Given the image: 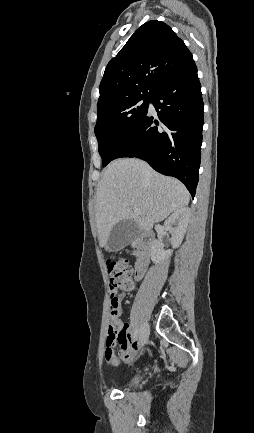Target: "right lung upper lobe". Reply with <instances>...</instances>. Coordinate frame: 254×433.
Returning a JSON list of instances; mask_svg holds the SVG:
<instances>
[{"label":"right lung upper lobe","mask_w":254,"mask_h":433,"mask_svg":"<svg viewBox=\"0 0 254 433\" xmlns=\"http://www.w3.org/2000/svg\"><path fill=\"white\" fill-rule=\"evenodd\" d=\"M191 59L187 46L167 24L146 22L108 63L97 111L127 100L152 98Z\"/></svg>","instance_id":"right-lung-upper-lobe-1"}]
</instances>
